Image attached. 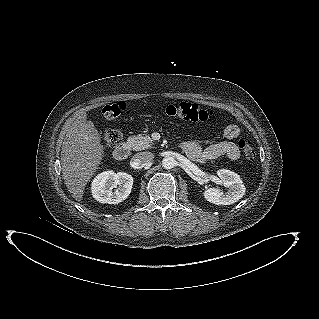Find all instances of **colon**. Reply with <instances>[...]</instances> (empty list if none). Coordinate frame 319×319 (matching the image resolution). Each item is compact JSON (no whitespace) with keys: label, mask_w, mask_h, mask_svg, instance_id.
<instances>
[{"label":"colon","mask_w":319,"mask_h":319,"mask_svg":"<svg viewBox=\"0 0 319 319\" xmlns=\"http://www.w3.org/2000/svg\"><path fill=\"white\" fill-rule=\"evenodd\" d=\"M124 102H116L105 105L102 113L105 119L114 120L118 118L125 110ZM162 113L168 117L180 119L186 122H204L214 116V112L207 110L194 103H178L168 105L162 109ZM121 132L117 129H104L101 132L102 144L105 147H113L121 140ZM238 146L244 156L252 159L255 156V150L250 140L241 139Z\"/></svg>","instance_id":"1"}]
</instances>
